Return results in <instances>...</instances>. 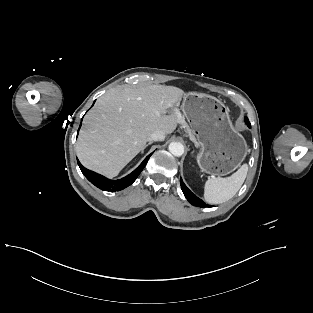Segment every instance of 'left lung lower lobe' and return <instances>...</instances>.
<instances>
[{
    "label": "left lung lower lobe",
    "mask_w": 313,
    "mask_h": 313,
    "mask_svg": "<svg viewBox=\"0 0 313 313\" xmlns=\"http://www.w3.org/2000/svg\"><path fill=\"white\" fill-rule=\"evenodd\" d=\"M180 185L182 188V191L186 197V199L194 206L197 207H207V205L200 199L198 198L195 194H193L187 186L184 184L182 179L180 178ZM211 207V206H210Z\"/></svg>",
    "instance_id": "left-lung-lower-lobe-1"
}]
</instances>
